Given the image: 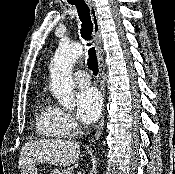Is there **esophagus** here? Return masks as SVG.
Wrapping results in <instances>:
<instances>
[{
    "instance_id": "obj_1",
    "label": "esophagus",
    "mask_w": 175,
    "mask_h": 174,
    "mask_svg": "<svg viewBox=\"0 0 175 174\" xmlns=\"http://www.w3.org/2000/svg\"><path fill=\"white\" fill-rule=\"evenodd\" d=\"M85 1L89 6L91 20L93 23V34H94V40L96 44V53H97V61H98V68H99V83H100L101 91L105 96V78H104L105 66H104V58L102 54V37H101V28H100L99 18H98L95 4L92 2V0H85ZM104 122H105L104 116H102V119L100 120V123L95 133V140H97L100 137L103 131Z\"/></svg>"
}]
</instances>
